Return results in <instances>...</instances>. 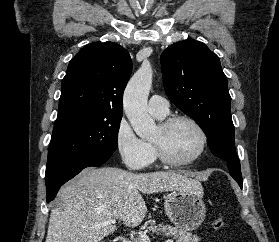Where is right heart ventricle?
Listing matches in <instances>:
<instances>
[{"label": "right heart ventricle", "instance_id": "e07e8e85", "mask_svg": "<svg viewBox=\"0 0 279 242\" xmlns=\"http://www.w3.org/2000/svg\"><path fill=\"white\" fill-rule=\"evenodd\" d=\"M154 117H156L158 120H164L166 117H167V114L166 115H159V114H155V113H152ZM152 151V154H153V159H155L157 157V154H156V151L154 149V146L151 142L147 143Z\"/></svg>", "mask_w": 279, "mask_h": 242}]
</instances>
